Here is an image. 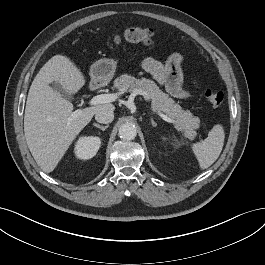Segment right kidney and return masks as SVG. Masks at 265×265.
I'll return each instance as SVG.
<instances>
[{"mask_svg":"<svg viewBox=\"0 0 265 265\" xmlns=\"http://www.w3.org/2000/svg\"><path fill=\"white\" fill-rule=\"evenodd\" d=\"M101 140L96 136L80 137L75 145V154L79 159L88 160L96 155Z\"/></svg>","mask_w":265,"mask_h":265,"instance_id":"obj_1","label":"right kidney"}]
</instances>
